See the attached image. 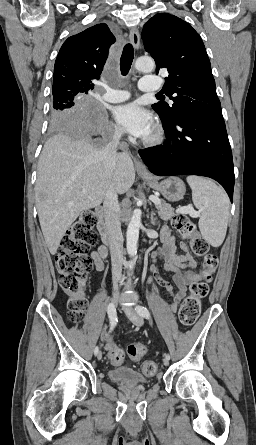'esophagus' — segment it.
Wrapping results in <instances>:
<instances>
[{"label":"esophagus","instance_id":"obj_1","mask_svg":"<svg viewBox=\"0 0 256 445\" xmlns=\"http://www.w3.org/2000/svg\"><path fill=\"white\" fill-rule=\"evenodd\" d=\"M129 39H130V42L132 43L133 47L135 49H138L140 46V35H139L138 29L132 28L130 30ZM135 167L138 172L143 173V174H148V170L140 158H137L135 160Z\"/></svg>","mask_w":256,"mask_h":445}]
</instances>
